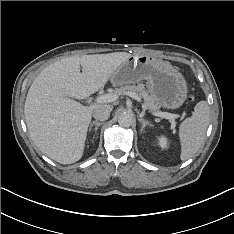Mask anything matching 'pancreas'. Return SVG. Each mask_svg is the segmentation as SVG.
<instances>
[{
  "label": "pancreas",
  "mask_w": 234,
  "mask_h": 234,
  "mask_svg": "<svg viewBox=\"0 0 234 234\" xmlns=\"http://www.w3.org/2000/svg\"><path fill=\"white\" fill-rule=\"evenodd\" d=\"M118 95H126L127 93H135L144 100V107L149 110H158L159 106L155 103L154 98L149 95L143 84L126 85L115 89Z\"/></svg>",
  "instance_id": "1"
}]
</instances>
